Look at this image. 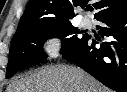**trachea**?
I'll return each mask as SVG.
<instances>
[{"label": "trachea", "mask_w": 127, "mask_h": 92, "mask_svg": "<svg viewBox=\"0 0 127 92\" xmlns=\"http://www.w3.org/2000/svg\"><path fill=\"white\" fill-rule=\"evenodd\" d=\"M87 10H88V11H92V8H88Z\"/></svg>", "instance_id": "3493384b"}]
</instances>
